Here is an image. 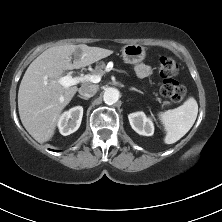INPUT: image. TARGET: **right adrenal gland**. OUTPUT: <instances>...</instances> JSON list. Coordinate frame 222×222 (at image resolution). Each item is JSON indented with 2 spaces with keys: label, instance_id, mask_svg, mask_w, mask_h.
I'll use <instances>...</instances> for the list:
<instances>
[{
  "label": "right adrenal gland",
  "instance_id": "obj_1",
  "mask_svg": "<svg viewBox=\"0 0 222 222\" xmlns=\"http://www.w3.org/2000/svg\"><path fill=\"white\" fill-rule=\"evenodd\" d=\"M79 98H81V99H84V100H88V98H85V97H83V96H81V95H77Z\"/></svg>",
  "mask_w": 222,
  "mask_h": 222
}]
</instances>
